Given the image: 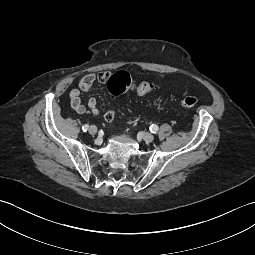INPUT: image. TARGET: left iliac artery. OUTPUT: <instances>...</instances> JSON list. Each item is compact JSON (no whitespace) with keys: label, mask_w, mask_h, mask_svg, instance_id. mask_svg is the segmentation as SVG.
Returning a JSON list of instances; mask_svg holds the SVG:
<instances>
[{"label":"left iliac artery","mask_w":255,"mask_h":255,"mask_svg":"<svg viewBox=\"0 0 255 255\" xmlns=\"http://www.w3.org/2000/svg\"><path fill=\"white\" fill-rule=\"evenodd\" d=\"M150 131H151L152 133H156V132L158 131V126L155 125V124L151 125V126H150Z\"/></svg>","instance_id":"1"}]
</instances>
